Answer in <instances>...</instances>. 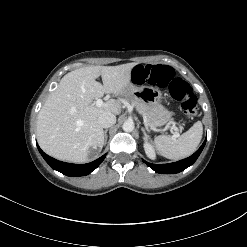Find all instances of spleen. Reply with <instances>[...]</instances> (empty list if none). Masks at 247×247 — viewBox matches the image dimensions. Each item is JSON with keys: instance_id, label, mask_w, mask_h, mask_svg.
Segmentation results:
<instances>
[{"instance_id": "spleen-1", "label": "spleen", "mask_w": 247, "mask_h": 247, "mask_svg": "<svg viewBox=\"0 0 247 247\" xmlns=\"http://www.w3.org/2000/svg\"><path fill=\"white\" fill-rule=\"evenodd\" d=\"M202 134V123L198 121L178 139L162 135L158 136L154 142L162 156L172 160H179L190 156L196 151Z\"/></svg>"}]
</instances>
